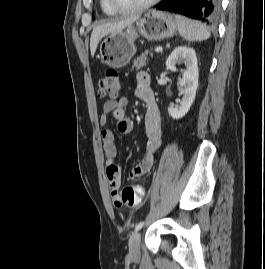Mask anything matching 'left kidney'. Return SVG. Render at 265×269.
<instances>
[{
	"instance_id": "5707ae66",
	"label": "left kidney",
	"mask_w": 265,
	"mask_h": 269,
	"mask_svg": "<svg viewBox=\"0 0 265 269\" xmlns=\"http://www.w3.org/2000/svg\"><path fill=\"white\" fill-rule=\"evenodd\" d=\"M184 63L186 70L183 72V77L180 81V106L168 107L169 115L174 119L184 117L190 110V107L195 99L196 90L198 87L199 71L197 66V57L195 50L186 46L176 47L166 60V67L171 71H176V64Z\"/></svg>"
}]
</instances>
